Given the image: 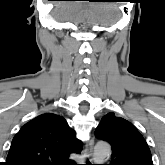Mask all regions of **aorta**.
I'll list each match as a JSON object with an SVG mask.
<instances>
[{
  "label": "aorta",
  "mask_w": 165,
  "mask_h": 165,
  "mask_svg": "<svg viewBox=\"0 0 165 165\" xmlns=\"http://www.w3.org/2000/svg\"><path fill=\"white\" fill-rule=\"evenodd\" d=\"M111 154V147L108 143L99 142L94 148L93 160L96 164H102Z\"/></svg>",
  "instance_id": "aorta-1"
}]
</instances>
